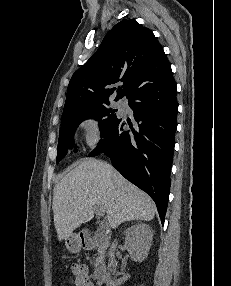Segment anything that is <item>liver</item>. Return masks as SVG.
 <instances>
[{"label":"liver","instance_id":"6515ba94","mask_svg":"<svg viewBox=\"0 0 231 286\" xmlns=\"http://www.w3.org/2000/svg\"><path fill=\"white\" fill-rule=\"evenodd\" d=\"M101 206L111 228L131 220L150 221L156 206L152 199L127 181L110 164L83 159L54 187L52 209L59 241L67 239Z\"/></svg>","mask_w":231,"mask_h":286}]
</instances>
